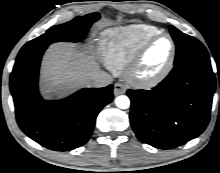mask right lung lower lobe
<instances>
[{
    "instance_id": "right-lung-lower-lobe-1",
    "label": "right lung lower lobe",
    "mask_w": 220,
    "mask_h": 173,
    "mask_svg": "<svg viewBox=\"0 0 220 173\" xmlns=\"http://www.w3.org/2000/svg\"><path fill=\"white\" fill-rule=\"evenodd\" d=\"M45 47L19 53L11 73L10 90L21 130L40 145L73 150L85 144L100 110L113 100V85L82 89L60 101H44L38 92V73Z\"/></svg>"
}]
</instances>
